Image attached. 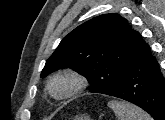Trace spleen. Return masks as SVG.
I'll list each match as a JSON object with an SVG mask.
<instances>
[{"instance_id": "spleen-1", "label": "spleen", "mask_w": 165, "mask_h": 120, "mask_svg": "<svg viewBox=\"0 0 165 120\" xmlns=\"http://www.w3.org/2000/svg\"><path fill=\"white\" fill-rule=\"evenodd\" d=\"M108 107L113 110L118 120H153L148 113L128 102L111 100Z\"/></svg>"}]
</instances>
